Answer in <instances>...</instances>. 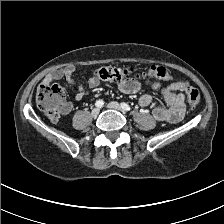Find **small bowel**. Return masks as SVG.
Instances as JSON below:
<instances>
[{"instance_id":"1","label":"small bowel","mask_w":224,"mask_h":224,"mask_svg":"<svg viewBox=\"0 0 224 224\" xmlns=\"http://www.w3.org/2000/svg\"><path fill=\"white\" fill-rule=\"evenodd\" d=\"M75 67L72 65L53 70L45 76L42 84H51L54 81L65 79L68 84L74 87L76 93V99L80 100L87 95V91L83 84L76 82L75 80ZM89 87L94 88L100 84V80L97 76H90L87 79ZM146 85L154 90L159 91L167 104V107H154L152 109V116L155 120L167 123L179 122L185 113V96L184 91L187 88V83L180 80L171 81L165 85L161 83L149 80ZM142 87V83L138 80L129 79L124 80L119 84V88L122 92L130 94L138 92ZM152 97L148 94H144L139 98V105L141 107H147L151 105ZM71 106L63 113H69Z\"/></svg>"}]
</instances>
